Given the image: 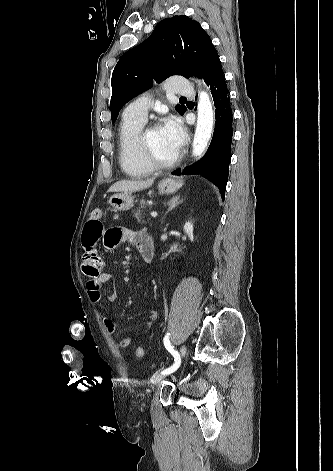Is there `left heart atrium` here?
Here are the masks:
<instances>
[{"label": "left heart atrium", "instance_id": "1", "mask_svg": "<svg viewBox=\"0 0 333 471\" xmlns=\"http://www.w3.org/2000/svg\"><path fill=\"white\" fill-rule=\"evenodd\" d=\"M160 128L167 144L178 153L184 143V132L179 122L169 117Z\"/></svg>", "mask_w": 333, "mask_h": 471}]
</instances>
